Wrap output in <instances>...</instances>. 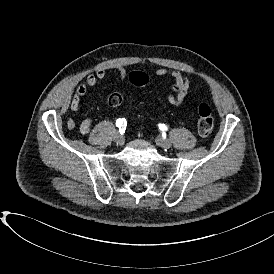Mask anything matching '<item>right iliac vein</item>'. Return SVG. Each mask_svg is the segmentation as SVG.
<instances>
[{
    "label": "right iliac vein",
    "mask_w": 274,
    "mask_h": 274,
    "mask_svg": "<svg viewBox=\"0 0 274 274\" xmlns=\"http://www.w3.org/2000/svg\"><path fill=\"white\" fill-rule=\"evenodd\" d=\"M114 141L116 142L117 145H123L124 137L117 133L114 135Z\"/></svg>",
    "instance_id": "63e3f726"
}]
</instances>
